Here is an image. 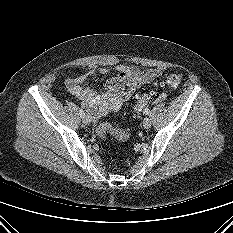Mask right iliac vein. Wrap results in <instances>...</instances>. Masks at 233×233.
<instances>
[{"label":"right iliac vein","instance_id":"obj_1","mask_svg":"<svg viewBox=\"0 0 233 233\" xmlns=\"http://www.w3.org/2000/svg\"><path fill=\"white\" fill-rule=\"evenodd\" d=\"M91 121H92V118H91L90 115H86L85 117H83V122H84L85 124H90Z\"/></svg>","mask_w":233,"mask_h":233}]
</instances>
